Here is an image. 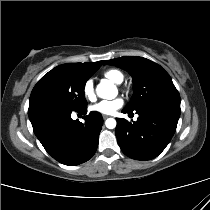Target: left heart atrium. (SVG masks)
<instances>
[{
    "label": "left heart atrium",
    "instance_id": "left-heart-atrium-1",
    "mask_svg": "<svg viewBox=\"0 0 210 210\" xmlns=\"http://www.w3.org/2000/svg\"><path fill=\"white\" fill-rule=\"evenodd\" d=\"M123 101L120 98L112 100H102L90 106V110L103 115H112L120 107H122Z\"/></svg>",
    "mask_w": 210,
    "mask_h": 210
}]
</instances>
